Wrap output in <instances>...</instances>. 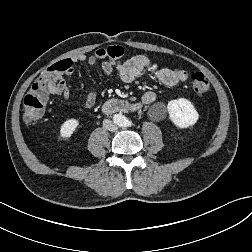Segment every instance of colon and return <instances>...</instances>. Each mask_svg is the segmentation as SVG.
Masks as SVG:
<instances>
[{"instance_id": "obj_1", "label": "colon", "mask_w": 252, "mask_h": 252, "mask_svg": "<svg viewBox=\"0 0 252 252\" xmlns=\"http://www.w3.org/2000/svg\"><path fill=\"white\" fill-rule=\"evenodd\" d=\"M94 54L96 58L109 63H118L125 55L124 50L119 46L100 48ZM69 68L70 63L67 60L59 61L42 72L34 81L23 100V119L26 123L37 122L43 117L48 99V88L58 83L61 74ZM189 80L194 93L204 95L209 92L210 85L202 73L191 74Z\"/></svg>"}]
</instances>
